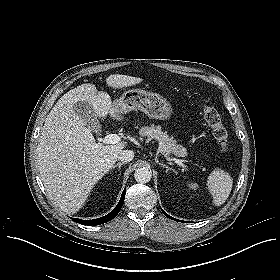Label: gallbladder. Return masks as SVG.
<instances>
[{"instance_id":"1","label":"gallbladder","mask_w":280,"mask_h":280,"mask_svg":"<svg viewBox=\"0 0 280 280\" xmlns=\"http://www.w3.org/2000/svg\"><path fill=\"white\" fill-rule=\"evenodd\" d=\"M74 113L81 118L83 123L96 133L100 132L101 127L92 105L85 101H79L74 104Z\"/></svg>"}]
</instances>
